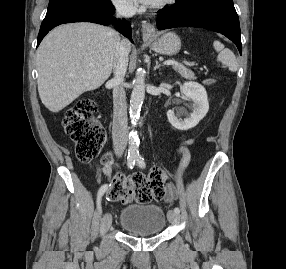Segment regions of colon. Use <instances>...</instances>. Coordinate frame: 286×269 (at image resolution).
I'll return each mask as SVG.
<instances>
[{"label": "colon", "mask_w": 286, "mask_h": 269, "mask_svg": "<svg viewBox=\"0 0 286 269\" xmlns=\"http://www.w3.org/2000/svg\"><path fill=\"white\" fill-rule=\"evenodd\" d=\"M216 78H205V83H216ZM96 105L93 100L83 98L77 101L66 112L62 124L66 134L76 144L77 157L82 162L93 160L105 143V131L95 120L93 114ZM111 156H103V163L110 164ZM164 175L161 170L149 174L136 173L132 176L116 175L107 191L111 202H125L135 199L145 203L160 199L164 195Z\"/></svg>", "instance_id": "colon-1"}]
</instances>
